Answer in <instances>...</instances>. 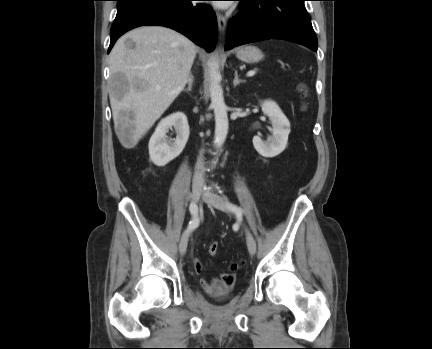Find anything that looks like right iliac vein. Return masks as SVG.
Segmentation results:
<instances>
[{"label":"right iliac vein","mask_w":432,"mask_h":349,"mask_svg":"<svg viewBox=\"0 0 432 349\" xmlns=\"http://www.w3.org/2000/svg\"><path fill=\"white\" fill-rule=\"evenodd\" d=\"M201 194H202L201 188L196 187V188L192 189L191 198H192L193 203H197L199 201ZM188 237H189V234L186 231L183 234V236L180 240V243H179V251L181 254H184L186 252L187 244H188Z\"/></svg>","instance_id":"63e3f726"}]
</instances>
